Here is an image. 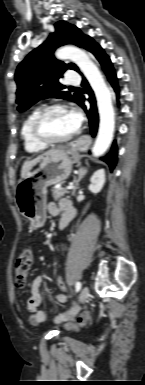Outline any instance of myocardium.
<instances>
[{
	"mask_svg": "<svg viewBox=\"0 0 145 385\" xmlns=\"http://www.w3.org/2000/svg\"><path fill=\"white\" fill-rule=\"evenodd\" d=\"M57 110L70 112L69 108L64 104H52L41 109L33 120L32 127H31L32 136L38 143L44 146H52V145L67 143L73 140L74 138H76L80 134L79 127L74 133L61 139L50 138L44 133L43 131L44 120L51 112L57 111Z\"/></svg>",
	"mask_w": 145,
	"mask_h": 385,
	"instance_id": "f54148a6",
	"label": "myocardium"
}]
</instances>
